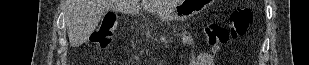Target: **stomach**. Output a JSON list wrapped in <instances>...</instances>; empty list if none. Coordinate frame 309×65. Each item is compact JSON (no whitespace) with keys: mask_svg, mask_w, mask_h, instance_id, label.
<instances>
[{"mask_svg":"<svg viewBox=\"0 0 309 65\" xmlns=\"http://www.w3.org/2000/svg\"><path fill=\"white\" fill-rule=\"evenodd\" d=\"M213 0H180L170 10L160 14V18L166 21H184L203 12Z\"/></svg>","mask_w":309,"mask_h":65,"instance_id":"0dacf381","label":"stomach"}]
</instances>
